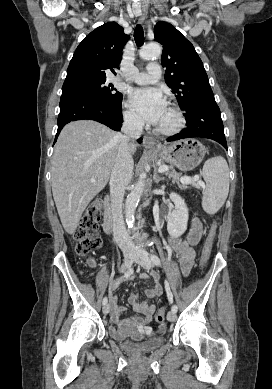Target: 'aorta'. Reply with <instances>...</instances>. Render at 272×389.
<instances>
[{"label": "aorta", "instance_id": "762f6f07", "mask_svg": "<svg viewBox=\"0 0 272 389\" xmlns=\"http://www.w3.org/2000/svg\"><path fill=\"white\" fill-rule=\"evenodd\" d=\"M161 53L162 48L158 43L146 44L139 52L140 57L145 60L157 58ZM145 178L146 174L142 173L125 202V218L128 228L130 229H133L135 210L145 188Z\"/></svg>", "mask_w": 272, "mask_h": 389}]
</instances>
